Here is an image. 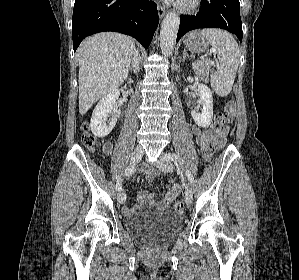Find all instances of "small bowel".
Returning a JSON list of instances; mask_svg holds the SVG:
<instances>
[{"label":"small bowel","mask_w":299,"mask_h":280,"mask_svg":"<svg viewBox=\"0 0 299 280\" xmlns=\"http://www.w3.org/2000/svg\"><path fill=\"white\" fill-rule=\"evenodd\" d=\"M192 130H193V134L195 136L196 142L200 148L205 143H207L210 140V138L212 137V130L209 128L203 129V128L194 126ZM227 133H228V130L224 129L219 135H217L215 137L216 148L222 147L225 144L226 138H227ZM111 150H112V143L111 142L106 143L104 146V151L109 154L111 152ZM156 177H157V172L150 170V171H148V173L146 175V180H147V182L150 183V182L154 181ZM179 193H180V187L178 185H172L171 188L169 189V191L167 192L164 200H162L161 202H156L153 194L149 193L146 190H142L138 194L139 205H136L132 208L125 207L123 209V211L126 214H130V213L138 210L140 207H145V206L165 207V206L172 204L174 202V200L177 198V196L179 195Z\"/></svg>","instance_id":"small-bowel-1"}]
</instances>
